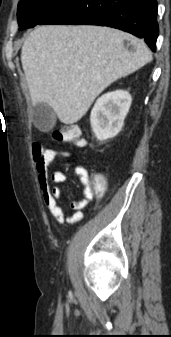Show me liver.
Segmentation results:
<instances>
[{"mask_svg":"<svg viewBox=\"0 0 171 337\" xmlns=\"http://www.w3.org/2000/svg\"><path fill=\"white\" fill-rule=\"evenodd\" d=\"M151 60L143 40L100 26H39L21 50L33 104L49 105L65 124L79 121L106 87Z\"/></svg>","mask_w":171,"mask_h":337,"instance_id":"liver-1","label":"liver"}]
</instances>
